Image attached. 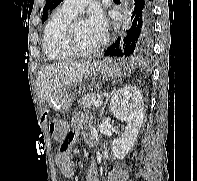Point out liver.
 Wrapping results in <instances>:
<instances>
[{"label":"liver","mask_w":197,"mask_h":181,"mask_svg":"<svg viewBox=\"0 0 197 181\" xmlns=\"http://www.w3.org/2000/svg\"><path fill=\"white\" fill-rule=\"evenodd\" d=\"M97 68V62L55 63L43 68L37 79V94L41 102L48 100L52 93L68 84L82 82L92 76Z\"/></svg>","instance_id":"6515ba94"}]
</instances>
